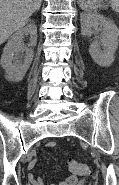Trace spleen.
Masks as SVG:
<instances>
[{
  "label": "spleen",
  "instance_id": "obj_1",
  "mask_svg": "<svg viewBox=\"0 0 119 185\" xmlns=\"http://www.w3.org/2000/svg\"><path fill=\"white\" fill-rule=\"evenodd\" d=\"M102 0H78L79 6L85 11H97L102 7ZM112 9L119 13V0H110Z\"/></svg>",
  "mask_w": 119,
  "mask_h": 185
}]
</instances>
